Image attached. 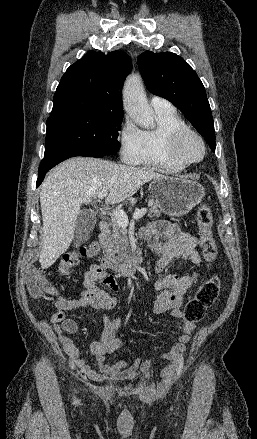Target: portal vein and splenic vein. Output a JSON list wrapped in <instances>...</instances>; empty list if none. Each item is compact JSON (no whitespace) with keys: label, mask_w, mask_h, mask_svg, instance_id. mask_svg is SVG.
<instances>
[{"label":"portal vein and splenic vein","mask_w":257,"mask_h":439,"mask_svg":"<svg viewBox=\"0 0 257 439\" xmlns=\"http://www.w3.org/2000/svg\"><path fill=\"white\" fill-rule=\"evenodd\" d=\"M107 195H108V191L102 190L98 193L97 197L99 199H102V198L106 197ZM146 212H147V208H142V209L136 210L134 215H133V219L137 220V219L141 218L142 216H144L146 214ZM112 213H113L115 219L117 220V222L121 226L126 227L129 224L128 217L123 210L116 209V210H113Z\"/></svg>","instance_id":"obj_1"}]
</instances>
